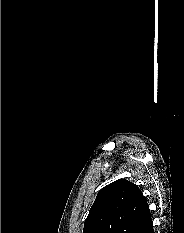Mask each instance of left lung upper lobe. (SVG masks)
<instances>
[{
    "label": "left lung upper lobe",
    "instance_id": "5c2ea615",
    "mask_svg": "<svg viewBox=\"0 0 184 233\" xmlns=\"http://www.w3.org/2000/svg\"><path fill=\"white\" fill-rule=\"evenodd\" d=\"M150 219L149 206L138 186L119 179L98 192L83 233H144Z\"/></svg>",
    "mask_w": 184,
    "mask_h": 233
}]
</instances>
